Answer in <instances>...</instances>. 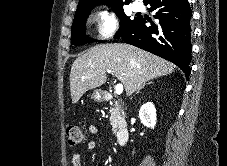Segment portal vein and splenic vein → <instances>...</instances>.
<instances>
[{
	"mask_svg": "<svg viewBox=\"0 0 227 166\" xmlns=\"http://www.w3.org/2000/svg\"><path fill=\"white\" fill-rule=\"evenodd\" d=\"M107 72L110 73V74L112 73L111 70H108ZM122 92H123V85L119 83V84H117V86L115 88V93L117 95H120V94H122Z\"/></svg>",
	"mask_w": 227,
	"mask_h": 166,
	"instance_id": "portal-vein-and-splenic-vein-1",
	"label": "portal vein and splenic vein"
}]
</instances>
